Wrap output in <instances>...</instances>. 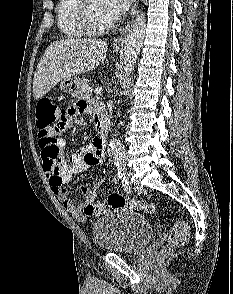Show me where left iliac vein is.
<instances>
[{
    "instance_id": "1",
    "label": "left iliac vein",
    "mask_w": 233,
    "mask_h": 294,
    "mask_svg": "<svg viewBox=\"0 0 233 294\" xmlns=\"http://www.w3.org/2000/svg\"><path fill=\"white\" fill-rule=\"evenodd\" d=\"M131 173L130 172H128L127 173V179H129L130 177H131ZM134 190L135 191H137V192H141L142 190H143V188L140 186V185H138V184H135L134 185Z\"/></svg>"
}]
</instances>
